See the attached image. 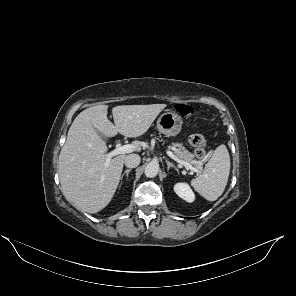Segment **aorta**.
<instances>
[{
    "mask_svg": "<svg viewBox=\"0 0 296 296\" xmlns=\"http://www.w3.org/2000/svg\"><path fill=\"white\" fill-rule=\"evenodd\" d=\"M159 172V165L156 162H150L145 167V175L149 178L155 177Z\"/></svg>",
    "mask_w": 296,
    "mask_h": 296,
    "instance_id": "1",
    "label": "aorta"
}]
</instances>
